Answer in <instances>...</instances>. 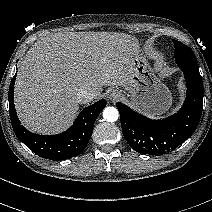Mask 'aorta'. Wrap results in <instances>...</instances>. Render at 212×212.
Here are the masks:
<instances>
[{
  "label": "aorta",
  "instance_id": "aorta-1",
  "mask_svg": "<svg viewBox=\"0 0 212 212\" xmlns=\"http://www.w3.org/2000/svg\"><path fill=\"white\" fill-rule=\"evenodd\" d=\"M103 118L107 122H115L119 118V111L115 107H106L103 110Z\"/></svg>",
  "mask_w": 212,
  "mask_h": 212
}]
</instances>
